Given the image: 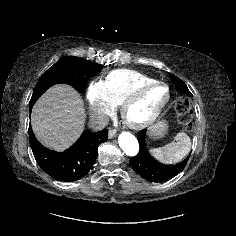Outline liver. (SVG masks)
<instances>
[{
  "mask_svg": "<svg viewBox=\"0 0 236 236\" xmlns=\"http://www.w3.org/2000/svg\"><path fill=\"white\" fill-rule=\"evenodd\" d=\"M84 102L71 86L58 84L48 89L32 109L31 122L36 138L46 147L63 151L84 130Z\"/></svg>",
  "mask_w": 236,
  "mask_h": 236,
  "instance_id": "liver-1",
  "label": "liver"
}]
</instances>
